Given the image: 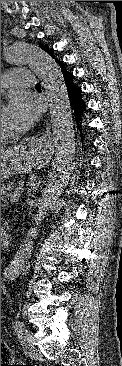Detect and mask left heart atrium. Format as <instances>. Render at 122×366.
<instances>
[{
  "label": "left heart atrium",
  "instance_id": "obj_1",
  "mask_svg": "<svg viewBox=\"0 0 122 366\" xmlns=\"http://www.w3.org/2000/svg\"><path fill=\"white\" fill-rule=\"evenodd\" d=\"M6 116L16 131H26L38 119V103L27 92H14L6 108Z\"/></svg>",
  "mask_w": 122,
  "mask_h": 366
}]
</instances>
